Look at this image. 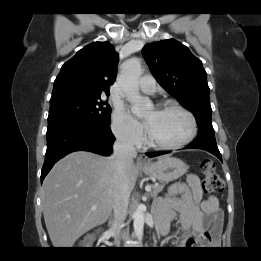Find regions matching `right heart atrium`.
<instances>
[{
  "label": "right heart atrium",
  "instance_id": "obj_1",
  "mask_svg": "<svg viewBox=\"0 0 261 261\" xmlns=\"http://www.w3.org/2000/svg\"><path fill=\"white\" fill-rule=\"evenodd\" d=\"M111 127L116 138L125 145L137 146L144 139L139 123L121 105L112 112Z\"/></svg>",
  "mask_w": 261,
  "mask_h": 261
}]
</instances>
